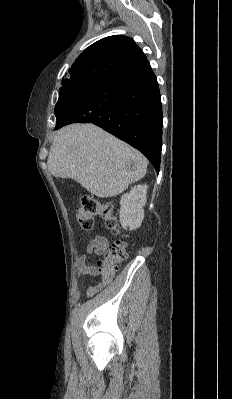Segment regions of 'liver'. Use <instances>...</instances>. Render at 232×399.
Segmentation results:
<instances>
[{
	"mask_svg": "<svg viewBox=\"0 0 232 399\" xmlns=\"http://www.w3.org/2000/svg\"><path fill=\"white\" fill-rule=\"evenodd\" d=\"M148 160L93 124H72L55 132L48 172L72 178L98 198L122 194L144 178Z\"/></svg>",
	"mask_w": 232,
	"mask_h": 399,
	"instance_id": "1",
	"label": "liver"
}]
</instances>
